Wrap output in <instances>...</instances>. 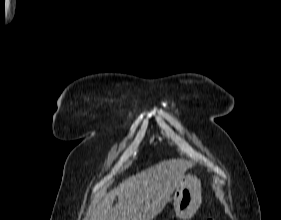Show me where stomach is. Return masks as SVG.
Instances as JSON below:
<instances>
[{
  "mask_svg": "<svg viewBox=\"0 0 281 220\" xmlns=\"http://www.w3.org/2000/svg\"><path fill=\"white\" fill-rule=\"evenodd\" d=\"M201 183L193 175H184L176 186L174 195V211L176 215L189 220L201 205Z\"/></svg>",
  "mask_w": 281,
  "mask_h": 220,
  "instance_id": "0dacf381",
  "label": "stomach"
}]
</instances>
